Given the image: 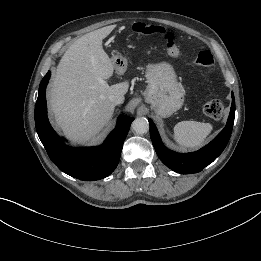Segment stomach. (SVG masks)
<instances>
[{
    "mask_svg": "<svg viewBox=\"0 0 261 261\" xmlns=\"http://www.w3.org/2000/svg\"><path fill=\"white\" fill-rule=\"evenodd\" d=\"M117 70L126 67V58L115 57ZM145 76L148 86L145 101L151 105L159 117H169L184 103V91L177 81L173 66L168 62L152 63L146 66Z\"/></svg>",
    "mask_w": 261,
    "mask_h": 261,
    "instance_id": "0dacf381",
    "label": "stomach"
}]
</instances>
